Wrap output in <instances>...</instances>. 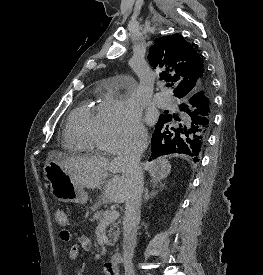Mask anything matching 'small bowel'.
<instances>
[{
    "label": "small bowel",
    "instance_id": "c3829d8e",
    "mask_svg": "<svg viewBox=\"0 0 263 275\" xmlns=\"http://www.w3.org/2000/svg\"><path fill=\"white\" fill-rule=\"evenodd\" d=\"M69 234H70V238L69 240H65L62 237V231L60 232V238L61 240L68 242L72 239V233L68 230ZM91 248V239L85 235L79 236L77 238V242L75 244H73L70 248H69V258L73 261H76L79 259L81 252L83 251H88ZM104 275H117V270L115 271H110L109 269H107L105 267L104 269Z\"/></svg>",
    "mask_w": 263,
    "mask_h": 275
}]
</instances>
